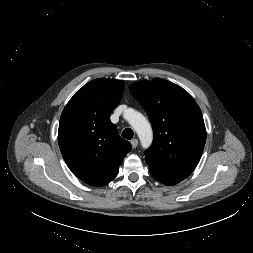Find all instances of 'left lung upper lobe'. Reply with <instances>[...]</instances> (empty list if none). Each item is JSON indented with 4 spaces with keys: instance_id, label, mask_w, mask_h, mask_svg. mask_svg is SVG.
I'll list each match as a JSON object with an SVG mask.
<instances>
[{
    "instance_id": "obj_1",
    "label": "left lung upper lobe",
    "mask_w": 253,
    "mask_h": 253,
    "mask_svg": "<svg viewBox=\"0 0 253 253\" xmlns=\"http://www.w3.org/2000/svg\"><path fill=\"white\" fill-rule=\"evenodd\" d=\"M130 92L154 131L153 144L145 152L148 166L185 179L197 166L206 142L199 106L183 88L161 78L136 82Z\"/></svg>"
}]
</instances>
